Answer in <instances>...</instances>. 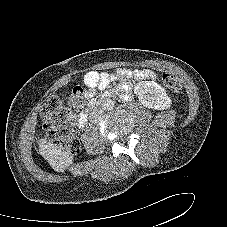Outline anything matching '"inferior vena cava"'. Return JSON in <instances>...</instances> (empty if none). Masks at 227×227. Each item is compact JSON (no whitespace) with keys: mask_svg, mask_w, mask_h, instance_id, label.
<instances>
[{"mask_svg":"<svg viewBox=\"0 0 227 227\" xmlns=\"http://www.w3.org/2000/svg\"><path fill=\"white\" fill-rule=\"evenodd\" d=\"M103 115V109L101 108H94L92 112L90 113V119L92 121H96L97 119L101 118Z\"/></svg>","mask_w":227,"mask_h":227,"instance_id":"obj_1","label":"inferior vena cava"}]
</instances>
